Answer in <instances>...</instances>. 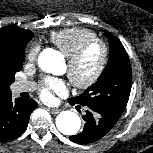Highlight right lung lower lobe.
<instances>
[{"mask_svg":"<svg viewBox=\"0 0 153 153\" xmlns=\"http://www.w3.org/2000/svg\"><path fill=\"white\" fill-rule=\"evenodd\" d=\"M38 104L30 100L12 99L11 93L0 97V141L20 136L27 128L31 113Z\"/></svg>","mask_w":153,"mask_h":153,"instance_id":"98d812e1","label":"right lung lower lobe"}]
</instances>
